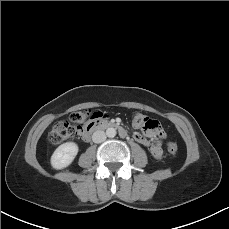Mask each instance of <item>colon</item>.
<instances>
[{"instance_id": "colon-1", "label": "colon", "mask_w": 229, "mask_h": 229, "mask_svg": "<svg viewBox=\"0 0 229 229\" xmlns=\"http://www.w3.org/2000/svg\"><path fill=\"white\" fill-rule=\"evenodd\" d=\"M99 116H102V113H96L91 110L74 112L70 115V121H61L52 127L49 135V141L56 145L64 142L67 139L75 138L85 130L90 119ZM132 122L134 126L138 128L152 130L154 132L161 130V125L158 121L141 113H134L132 115ZM167 150L171 155L174 156L178 152V145L175 142H169L167 144Z\"/></svg>"}]
</instances>
